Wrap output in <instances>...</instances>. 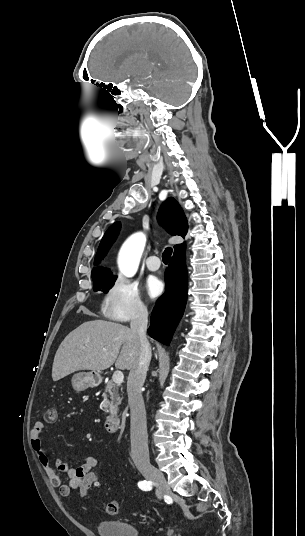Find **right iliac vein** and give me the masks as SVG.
<instances>
[{"instance_id": "obj_1", "label": "right iliac vein", "mask_w": 305, "mask_h": 536, "mask_svg": "<svg viewBox=\"0 0 305 536\" xmlns=\"http://www.w3.org/2000/svg\"><path fill=\"white\" fill-rule=\"evenodd\" d=\"M139 471L144 477L150 481H154L159 485L157 492L158 499H162L165 494L169 492V486L164 475L150 464H144L139 466Z\"/></svg>"}]
</instances>
